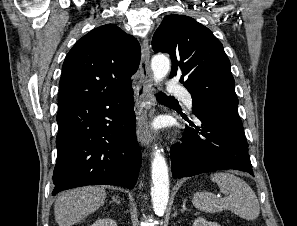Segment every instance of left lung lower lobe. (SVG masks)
Returning <instances> with one entry per match:
<instances>
[{
	"label": "left lung lower lobe",
	"mask_w": 297,
	"mask_h": 226,
	"mask_svg": "<svg viewBox=\"0 0 297 226\" xmlns=\"http://www.w3.org/2000/svg\"><path fill=\"white\" fill-rule=\"evenodd\" d=\"M202 122H190L182 144L172 146L174 178L189 177L222 169H237L253 176L248 143L238 110L210 107L195 113Z\"/></svg>",
	"instance_id": "0a47b994"
}]
</instances>
